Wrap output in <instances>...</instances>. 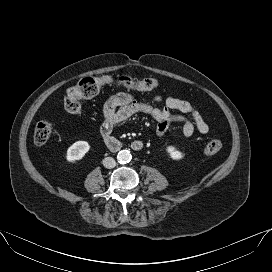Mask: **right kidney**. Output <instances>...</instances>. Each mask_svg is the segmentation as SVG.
<instances>
[{
  "label": "right kidney",
  "instance_id": "ca27d5eb",
  "mask_svg": "<svg viewBox=\"0 0 272 272\" xmlns=\"http://www.w3.org/2000/svg\"><path fill=\"white\" fill-rule=\"evenodd\" d=\"M90 146L86 141H77L71 145L66 153V158L69 162H75L82 159L89 151Z\"/></svg>",
  "mask_w": 272,
  "mask_h": 272
}]
</instances>
